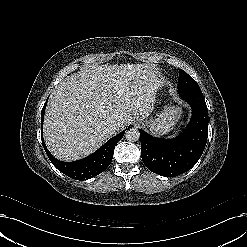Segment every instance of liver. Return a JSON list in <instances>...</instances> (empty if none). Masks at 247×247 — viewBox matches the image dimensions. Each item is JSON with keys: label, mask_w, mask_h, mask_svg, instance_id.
<instances>
[{"label": "liver", "mask_w": 247, "mask_h": 247, "mask_svg": "<svg viewBox=\"0 0 247 247\" xmlns=\"http://www.w3.org/2000/svg\"><path fill=\"white\" fill-rule=\"evenodd\" d=\"M160 86L157 72L141 64L84 67L50 95L43 131L48 150L62 161L90 155L132 115L149 116ZM111 121L119 123L115 132L107 128Z\"/></svg>", "instance_id": "1"}]
</instances>
